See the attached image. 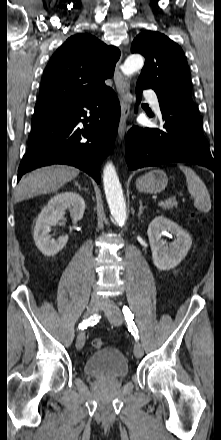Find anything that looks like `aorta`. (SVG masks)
<instances>
[{"instance_id":"obj_1","label":"aorta","mask_w":221,"mask_h":440,"mask_svg":"<svg viewBox=\"0 0 221 440\" xmlns=\"http://www.w3.org/2000/svg\"><path fill=\"white\" fill-rule=\"evenodd\" d=\"M143 65V57L139 54H132L127 57L121 66V70L124 75L130 76L142 68ZM103 184L111 214L114 220L122 226L127 218L126 203L115 167L111 162L107 163L103 170Z\"/></svg>"}]
</instances>
